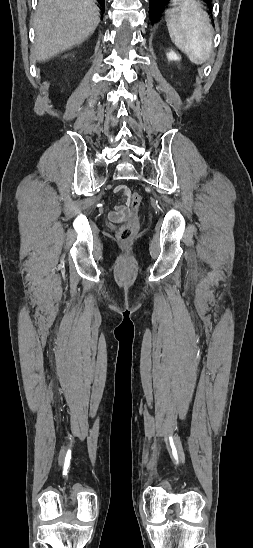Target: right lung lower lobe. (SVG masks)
<instances>
[{"label":"right lung lower lobe","mask_w":253,"mask_h":548,"mask_svg":"<svg viewBox=\"0 0 253 548\" xmlns=\"http://www.w3.org/2000/svg\"><path fill=\"white\" fill-rule=\"evenodd\" d=\"M98 2L100 3V5L102 6V9H104V6H105V0H98Z\"/></svg>","instance_id":"right-lung-lower-lobe-1"}]
</instances>
